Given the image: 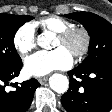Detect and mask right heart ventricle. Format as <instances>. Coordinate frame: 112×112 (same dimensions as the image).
<instances>
[{
	"instance_id": "right-heart-ventricle-1",
	"label": "right heart ventricle",
	"mask_w": 112,
	"mask_h": 112,
	"mask_svg": "<svg viewBox=\"0 0 112 112\" xmlns=\"http://www.w3.org/2000/svg\"><path fill=\"white\" fill-rule=\"evenodd\" d=\"M37 25L54 34H60L74 27V24L59 16H50L37 22Z\"/></svg>"
}]
</instances>
